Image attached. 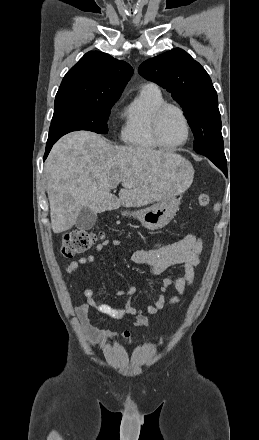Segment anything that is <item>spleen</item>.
I'll use <instances>...</instances> for the list:
<instances>
[{
    "mask_svg": "<svg viewBox=\"0 0 259 440\" xmlns=\"http://www.w3.org/2000/svg\"><path fill=\"white\" fill-rule=\"evenodd\" d=\"M219 209H220V204L219 203L215 204L214 205V210L215 211H219Z\"/></svg>",
    "mask_w": 259,
    "mask_h": 440,
    "instance_id": "3e777b00",
    "label": "spleen"
}]
</instances>
